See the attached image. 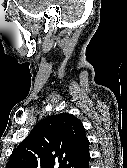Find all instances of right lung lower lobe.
Returning a JSON list of instances; mask_svg holds the SVG:
<instances>
[{
	"mask_svg": "<svg viewBox=\"0 0 127 168\" xmlns=\"http://www.w3.org/2000/svg\"><path fill=\"white\" fill-rule=\"evenodd\" d=\"M89 160L90 156L84 160L81 164H79L76 168H89Z\"/></svg>",
	"mask_w": 127,
	"mask_h": 168,
	"instance_id": "1",
	"label": "right lung lower lobe"
}]
</instances>
